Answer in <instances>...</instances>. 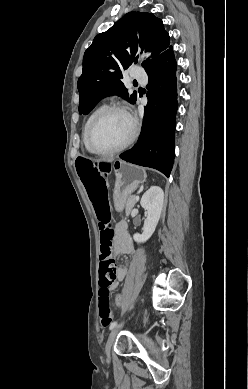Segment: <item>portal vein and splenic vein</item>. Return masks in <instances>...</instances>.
Here are the masks:
<instances>
[{
	"label": "portal vein and splenic vein",
	"mask_w": 248,
	"mask_h": 389,
	"mask_svg": "<svg viewBox=\"0 0 248 389\" xmlns=\"http://www.w3.org/2000/svg\"><path fill=\"white\" fill-rule=\"evenodd\" d=\"M135 199L138 200V196H136Z\"/></svg>",
	"instance_id": "18ae733b"
}]
</instances>
